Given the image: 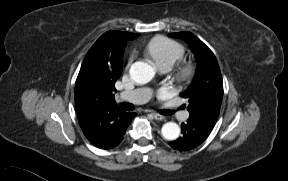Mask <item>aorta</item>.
Segmentation results:
<instances>
[{"instance_id": "obj_1", "label": "aorta", "mask_w": 288, "mask_h": 181, "mask_svg": "<svg viewBox=\"0 0 288 181\" xmlns=\"http://www.w3.org/2000/svg\"><path fill=\"white\" fill-rule=\"evenodd\" d=\"M130 77L138 84H146L155 76V69L150 64L142 61L133 63L130 67ZM162 136L169 141L179 137L180 128L175 122H167L162 126Z\"/></svg>"}]
</instances>
